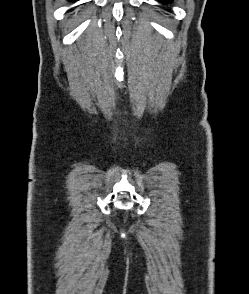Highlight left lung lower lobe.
<instances>
[{"mask_svg": "<svg viewBox=\"0 0 249 294\" xmlns=\"http://www.w3.org/2000/svg\"><path fill=\"white\" fill-rule=\"evenodd\" d=\"M159 1L162 2V3H167V2H170L172 0H159Z\"/></svg>", "mask_w": 249, "mask_h": 294, "instance_id": "obj_1", "label": "left lung lower lobe"}]
</instances>
